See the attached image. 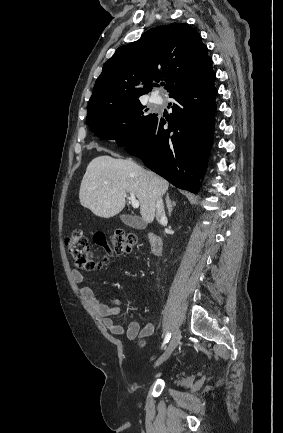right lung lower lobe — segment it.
I'll return each instance as SVG.
<instances>
[{"instance_id": "98d812e1", "label": "right lung lower lobe", "mask_w": 283, "mask_h": 433, "mask_svg": "<svg viewBox=\"0 0 283 433\" xmlns=\"http://www.w3.org/2000/svg\"><path fill=\"white\" fill-rule=\"evenodd\" d=\"M215 77L214 73L192 87L170 93L176 100L171 120L166 122L156 114L144 135L125 148L173 185L195 193L212 146ZM166 123L168 129L163 128Z\"/></svg>"}]
</instances>
